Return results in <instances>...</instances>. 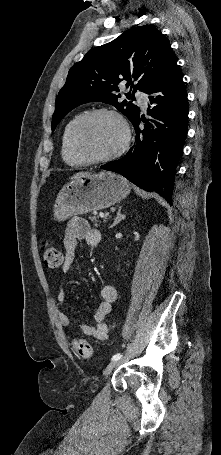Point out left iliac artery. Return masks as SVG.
<instances>
[{
    "instance_id": "1",
    "label": "left iliac artery",
    "mask_w": 221,
    "mask_h": 455,
    "mask_svg": "<svg viewBox=\"0 0 221 455\" xmlns=\"http://www.w3.org/2000/svg\"><path fill=\"white\" fill-rule=\"evenodd\" d=\"M121 357H122V354H120V353L115 354V355L112 357V361H114V360H119Z\"/></svg>"
}]
</instances>
